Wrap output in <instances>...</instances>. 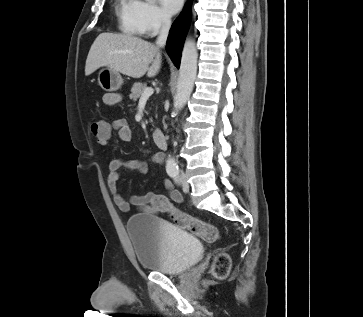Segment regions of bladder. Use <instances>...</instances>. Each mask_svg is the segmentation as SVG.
Segmentation results:
<instances>
[{
  "instance_id": "obj_1",
  "label": "bladder",
  "mask_w": 363,
  "mask_h": 317,
  "mask_svg": "<svg viewBox=\"0 0 363 317\" xmlns=\"http://www.w3.org/2000/svg\"><path fill=\"white\" fill-rule=\"evenodd\" d=\"M126 230L144 269L175 275L189 270L202 258L200 238L154 215H133Z\"/></svg>"
}]
</instances>
